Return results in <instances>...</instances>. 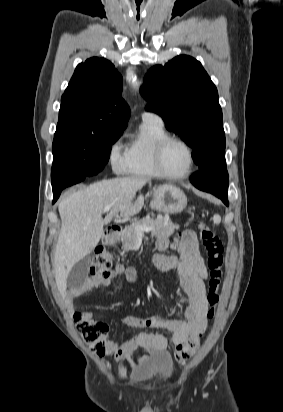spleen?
I'll use <instances>...</instances> for the list:
<instances>
[{"label": "spleen", "mask_w": 283, "mask_h": 412, "mask_svg": "<svg viewBox=\"0 0 283 412\" xmlns=\"http://www.w3.org/2000/svg\"><path fill=\"white\" fill-rule=\"evenodd\" d=\"M218 221H219L218 219H214V224H215V223H218Z\"/></svg>", "instance_id": "3e777b00"}]
</instances>
